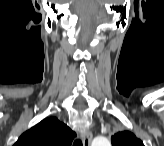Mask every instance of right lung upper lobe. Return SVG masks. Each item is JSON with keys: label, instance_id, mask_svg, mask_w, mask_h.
<instances>
[{"label": "right lung upper lobe", "instance_id": "right-lung-upper-lobe-1", "mask_svg": "<svg viewBox=\"0 0 164 146\" xmlns=\"http://www.w3.org/2000/svg\"><path fill=\"white\" fill-rule=\"evenodd\" d=\"M73 132L55 117H49L24 132L14 146H70Z\"/></svg>", "mask_w": 164, "mask_h": 146}]
</instances>
